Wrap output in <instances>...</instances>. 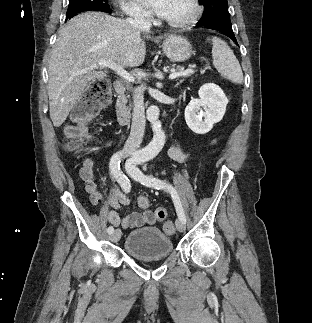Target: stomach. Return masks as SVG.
Returning <instances> with one entry per match:
<instances>
[{"label":"stomach","mask_w":312,"mask_h":323,"mask_svg":"<svg viewBox=\"0 0 312 323\" xmlns=\"http://www.w3.org/2000/svg\"><path fill=\"white\" fill-rule=\"evenodd\" d=\"M162 50L170 62H186L193 54L190 42L182 36H167L162 44Z\"/></svg>","instance_id":"stomach-1"}]
</instances>
